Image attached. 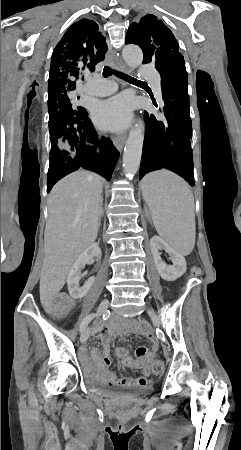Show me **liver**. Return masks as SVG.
Segmentation results:
<instances>
[{"instance_id":"obj_1","label":"liver","mask_w":241,"mask_h":450,"mask_svg":"<svg viewBox=\"0 0 241 450\" xmlns=\"http://www.w3.org/2000/svg\"><path fill=\"white\" fill-rule=\"evenodd\" d=\"M101 192L98 176L78 170L57 182L48 196L40 276V300L45 308L62 290L73 262L97 238Z\"/></svg>"}]
</instances>
